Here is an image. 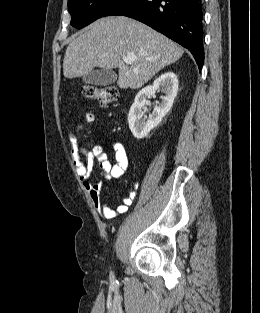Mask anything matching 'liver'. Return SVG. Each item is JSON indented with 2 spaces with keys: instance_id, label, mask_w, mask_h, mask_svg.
I'll return each mask as SVG.
<instances>
[{
  "instance_id": "liver-1",
  "label": "liver",
  "mask_w": 260,
  "mask_h": 313,
  "mask_svg": "<svg viewBox=\"0 0 260 313\" xmlns=\"http://www.w3.org/2000/svg\"><path fill=\"white\" fill-rule=\"evenodd\" d=\"M183 48L163 34L134 19L115 16L98 19L68 45L63 74L75 78L94 68H118V87L138 89L166 65L177 61ZM135 56L132 64L123 58Z\"/></svg>"
}]
</instances>
